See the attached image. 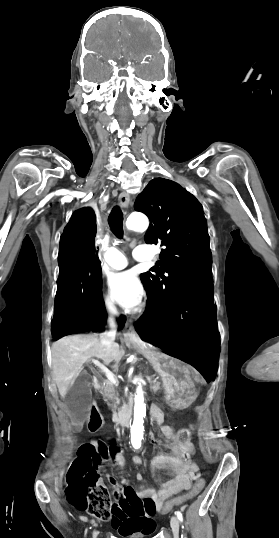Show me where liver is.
I'll return each mask as SVG.
<instances>
[{
  "mask_svg": "<svg viewBox=\"0 0 279 538\" xmlns=\"http://www.w3.org/2000/svg\"><path fill=\"white\" fill-rule=\"evenodd\" d=\"M53 380L57 384L61 398L78 378L83 364L90 358H100L110 364L119 354L118 344L111 348L101 344L97 336H65L52 344Z\"/></svg>",
  "mask_w": 279,
  "mask_h": 538,
  "instance_id": "1",
  "label": "liver"
}]
</instances>
